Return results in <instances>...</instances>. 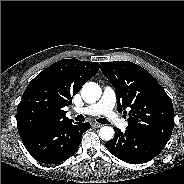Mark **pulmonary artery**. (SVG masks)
Returning <instances> with one entry per match:
<instances>
[{"label":"pulmonary artery","mask_w":184,"mask_h":184,"mask_svg":"<svg viewBox=\"0 0 184 184\" xmlns=\"http://www.w3.org/2000/svg\"><path fill=\"white\" fill-rule=\"evenodd\" d=\"M116 106V96L112 88L106 87L103 91L101 99L92 105L83 108H77L76 112L79 114H89V115H103L120 129H125L127 122L120 118L115 111Z\"/></svg>","instance_id":"e3ab8cb5"}]
</instances>
